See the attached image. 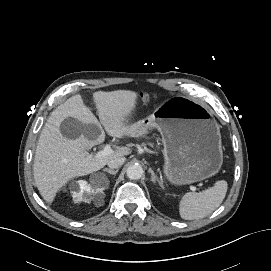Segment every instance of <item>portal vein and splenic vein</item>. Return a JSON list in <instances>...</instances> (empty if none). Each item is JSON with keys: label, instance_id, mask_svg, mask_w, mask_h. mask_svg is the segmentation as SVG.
I'll return each mask as SVG.
<instances>
[{"label": "portal vein and splenic vein", "instance_id": "1", "mask_svg": "<svg viewBox=\"0 0 271 271\" xmlns=\"http://www.w3.org/2000/svg\"><path fill=\"white\" fill-rule=\"evenodd\" d=\"M113 152L111 145L107 144L105 145L104 149L102 151H99L96 153L95 157L101 158L110 155ZM192 191H196L197 188L193 185L189 186Z\"/></svg>", "mask_w": 271, "mask_h": 271}]
</instances>
